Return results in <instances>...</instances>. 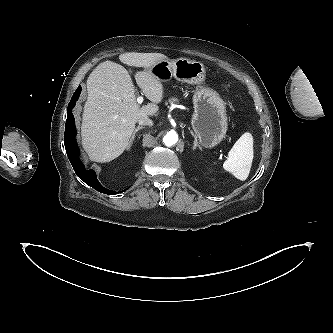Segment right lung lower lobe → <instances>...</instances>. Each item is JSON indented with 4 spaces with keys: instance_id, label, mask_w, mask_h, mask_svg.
<instances>
[{
    "instance_id": "98d812e1",
    "label": "right lung lower lobe",
    "mask_w": 333,
    "mask_h": 333,
    "mask_svg": "<svg viewBox=\"0 0 333 333\" xmlns=\"http://www.w3.org/2000/svg\"><path fill=\"white\" fill-rule=\"evenodd\" d=\"M80 92H81V87L79 86L75 91V93L73 94V97L68 105L67 120L65 125V134H64V144L67 156L74 168L75 173L82 181H84L86 184H88L89 186L93 187L94 189H96L101 193L116 194V192L107 190L104 187H102V185L97 180L95 171L92 169L90 170L85 169L83 163L79 158V149L75 141L76 128H75L74 116L72 114V109L79 98Z\"/></svg>"
}]
</instances>
